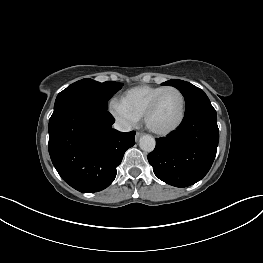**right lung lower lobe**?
I'll return each instance as SVG.
<instances>
[{
	"instance_id": "right-lung-lower-lobe-1",
	"label": "right lung lower lobe",
	"mask_w": 263,
	"mask_h": 263,
	"mask_svg": "<svg viewBox=\"0 0 263 263\" xmlns=\"http://www.w3.org/2000/svg\"><path fill=\"white\" fill-rule=\"evenodd\" d=\"M105 109L67 105L49 121V154L61 178L74 189L93 193L107 188L125 151L135 144V132L112 129Z\"/></svg>"
}]
</instances>
